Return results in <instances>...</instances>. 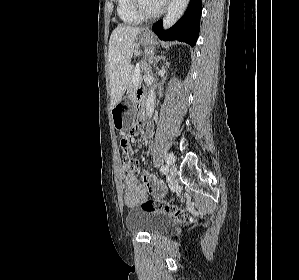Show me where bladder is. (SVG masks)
<instances>
[{"label": "bladder", "mask_w": 299, "mask_h": 280, "mask_svg": "<svg viewBox=\"0 0 299 280\" xmlns=\"http://www.w3.org/2000/svg\"><path fill=\"white\" fill-rule=\"evenodd\" d=\"M171 224L170 218L157 211L135 210L126 217V226L131 231H141L150 235L165 232Z\"/></svg>", "instance_id": "obj_1"}]
</instances>
